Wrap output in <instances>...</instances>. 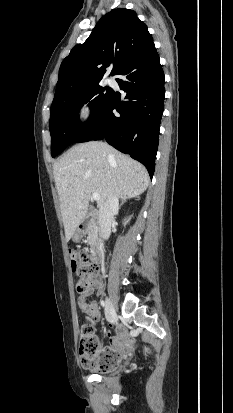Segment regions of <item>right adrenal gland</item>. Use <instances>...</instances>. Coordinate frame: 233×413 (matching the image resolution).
Here are the masks:
<instances>
[{"label": "right adrenal gland", "instance_id": "1", "mask_svg": "<svg viewBox=\"0 0 233 413\" xmlns=\"http://www.w3.org/2000/svg\"><path fill=\"white\" fill-rule=\"evenodd\" d=\"M126 201V199L122 200L120 207L124 204V202Z\"/></svg>", "mask_w": 233, "mask_h": 413}]
</instances>
